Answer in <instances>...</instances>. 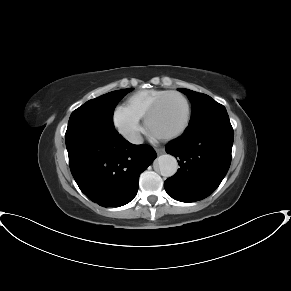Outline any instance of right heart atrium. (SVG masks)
Returning a JSON list of instances; mask_svg holds the SVG:
<instances>
[{"instance_id": "right-heart-atrium-1", "label": "right heart atrium", "mask_w": 291, "mask_h": 291, "mask_svg": "<svg viewBox=\"0 0 291 291\" xmlns=\"http://www.w3.org/2000/svg\"><path fill=\"white\" fill-rule=\"evenodd\" d=\"M141 118L125 105H118L113 113V125L128 141H135L141 130Z\"/></svg>"}]
</instances>
